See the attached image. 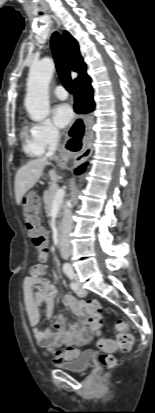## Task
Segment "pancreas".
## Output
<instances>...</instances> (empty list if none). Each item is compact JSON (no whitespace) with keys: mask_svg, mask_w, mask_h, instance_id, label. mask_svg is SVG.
<instances>
[{"mask_svg":"<svg viewBox=\"0 0 155 413\" xmlns=\"http://www.w3.org/2000/svg\"><path fill=\"white\" fill-rule=\"evenodd\" d=\"M58 190H59L58 186H57L56 184H52V185L49 187V189L44 192L43 200H44V203H45V206H46V212H47V213H49V211H50V209H51V207H52V204H53V201H54L56 192H57ZM64 207H65V204L62 203V204L60 205V212H59V215H58L59 217H61V215H62V212H61V211L64 209Z\"/></svg>","mask_w":155,"mask_h":413,"instance_id":"cf45deb5","label":"pancreas"}]
</instances>
